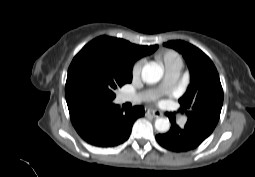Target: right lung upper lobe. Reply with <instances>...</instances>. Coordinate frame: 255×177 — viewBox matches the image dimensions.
<instances>
[{
	"label": "right lung upper lobe",
	"mask_w": 255,
	"mask_h": 177,
	"mask_svg": "<svg viewBox=\"0 0 255 177\" xmlns=\"http://www.w3.org/2000/svg\"><path fill=\"white\" fill-rule=\"evenodd\" d=\"M86 46L95 48L101 53L114 58H120L126 67L132 70L135 61L145 55L153 53L158 45L141 46L132 44L126 40L108 36H100ZM67 105H72L86 97L79 93H66Z\"/></svg>",
	"instance_id": "right-lung-upper-lobe-1"
}]
</instances>
